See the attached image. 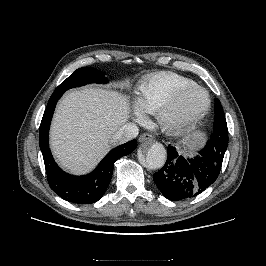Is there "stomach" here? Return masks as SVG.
Masks as SVG:
<instances>
[{
    "instance_id": "stomach-1",
    "label": "stomach",
    "mask_w": 266,
    "mask_h": 266,
    "mask_svg": "<svg viewBox=\"0 0 266 266\" xmlns=\"http://www.w3.org/2000/svg\"><path fill=\"white\" fill-rule=\"evenodd\" d=\"M203 140V134L200 133L184 138L180 146L181 152L184 155H196V150L201 147Z\"/></svg>"
}]
</instances>
